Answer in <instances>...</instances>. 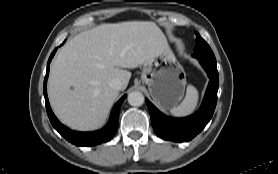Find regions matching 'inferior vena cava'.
<instances>
[{"label": "inferior vena cava", "instance_id": "1", "mask_svg": "<svg viewBox=\"0 0 278 174\" xmlns=\"http://www.w3.org/2000/svg\"><path fill=\"white\" fill-rule=\"evenodd\" d=\"M110 87L115 90H121L123 88V83L119 78H114L109 83Z\"/></svg>", "mask_w": 278, "mask_h": 174}]
</instances>
